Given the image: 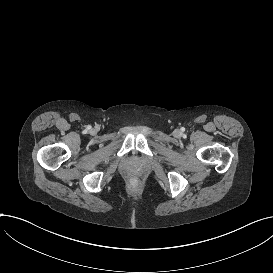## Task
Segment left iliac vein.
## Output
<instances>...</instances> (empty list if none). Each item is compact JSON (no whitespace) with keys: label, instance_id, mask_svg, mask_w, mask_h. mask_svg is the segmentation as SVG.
<instances>
[{"label":"left iliac vein","instance_id":"1","mask_svg":"<svg viewBox=\"0 0 273 273\" xmlns=\"http://www.w3.org/2000/svg\"><path fill=\"white\" fill-rule=\"evenodd\" d=\"M174 135L177 136V137L180 136L179 130H175V131H174Z\"/></svg>","mask_w":273,"mask_h":273}]
</instances>
